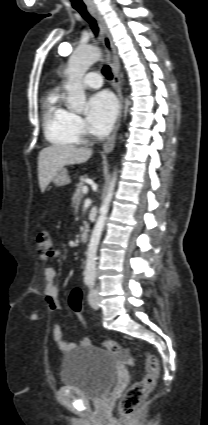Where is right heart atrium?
I'll use <instances>...</instances> for the list:
<instances>
[{
	"instance_id": "right-heart-atrium-1",
	"label": "right heart atrium",
	"mask_w": 208,
	"mask_h": 425,
	"mask_svg": "<svg viewBox=\"0 0 208 425\" xmlns=\"http://www.w3.org/2000/svg\"><path fill=\"white\" fill-rule=\"evenodd\" d=\"M72 125L75 133L78 136H82L84 134V124L82 119L79 116L74 115L72 120Z\"/></svg>"
}]
</instances>
